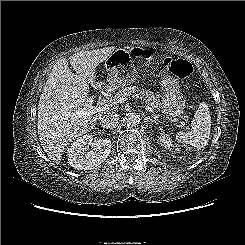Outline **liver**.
I'll return each mask as SVG.
<instances>
[{
	"label": "liver",
	"mask_w": 245,
	"mask_h": 245,
	"mask_svg": "<svg viewBox=\"0 0 245 245\" xmlns=\"http://www.w3.org/2000/svg\"><path fill=\"white\" fill-rule=\"evenodd\" d=\"M115 50L114 46L81 51L69 57L76 74L72 73L66 58L55 62L38 104V135L47 156L56 164L61 163L64 149L72 140L91 131L98 119L109 113L103 110L87 118L73 116L89 96L90 83L95 88L102 84L94 82L96 67Z\"/></svg>",
	"instance_id": "6515ba94"
}]
</instances>
